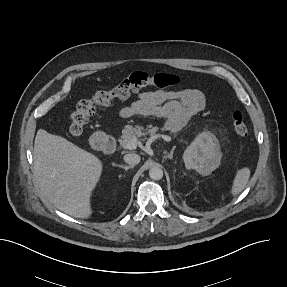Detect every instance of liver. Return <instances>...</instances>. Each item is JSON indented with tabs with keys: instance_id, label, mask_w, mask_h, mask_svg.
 Segmentation results:
<instances>
[{
	"instance_id": "obj_1",
	"label": "liver",
	"mask_w": 287,
	"mask_h": 287,
	"mask_svg": "<svg viewBox=\"0 0 287 287\" xmlns=\"http://www.w3.org/2000/svg\"><path fill=\"white\" fill-rule=\"evenodd\" d=\"M34 171L42 194L75 218L92 215V191L103 164L94 154L67 139L39 129L34 142Z\"/></svg>"
}]
</instances>
